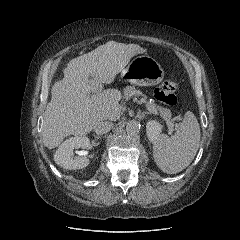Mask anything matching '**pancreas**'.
Here are the masks:
<instances>
[{
  "instance_id": "pancreas-1",
  "label": "pancreas",
  "mask_w": 240,
  "mask_h": 240,
  "mask_svg": "<svg viewBox=\"0 0 240 240\" xmlns=\"http://www.w3.org/2000/svg\"><path fill=\"white\" fill-rule=\"evenodd\" d=\"M141 94H142V92L139 90H136L135 87H133V86H128L124 89V96L126 98H130V97H133L136 95H141ZM147 105L154 108L156 111H158L160 113L161 117H163V119L167 123L171 122L172 114L169 109L158 106L154 102H149Z\"/></svg>"
}]
</instances>
